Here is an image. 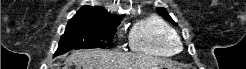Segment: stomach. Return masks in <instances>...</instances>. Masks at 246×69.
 Returning <instances> with one entry per match:
<instances>
[{"label":"stomach","instance_id":"1","mask_svg":"<svg viewBox=\"0 0 246 69\" xmlns=\"http://www.w3.org/2000/svg\"><path fill=\"white\" fill-rule=\"evenodd\" d=\"M149 69H180V68L168 64H158L150 67Z\"/></svg>","mask_w":246,"mask_h":69}]
</instances>
